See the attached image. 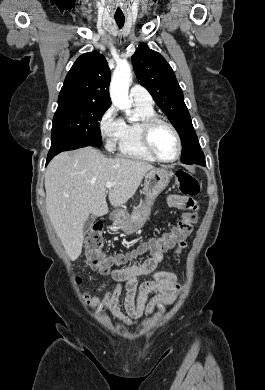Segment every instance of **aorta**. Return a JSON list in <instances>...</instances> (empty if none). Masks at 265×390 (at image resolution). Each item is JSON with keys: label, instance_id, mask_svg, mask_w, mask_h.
Wrapping results in <instances>:
<instances>
[{"label": "aorta", "instance_id": "aorta-1", "mask_svg": "<svg viewBox=\"0 0 265 390\" xmlns=\"http://www.w3.org/2000/svg\"><path fill=\"white\" fill-rule=\"evenodd\" d=\"M132 81L131 67L128 63H119L113 73L110 84V97L115 106L131 116L132 101L129 99V86Z\"/></svg>", "mask_w": 265, "mask_h": 390}]
</instances>
